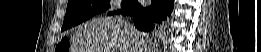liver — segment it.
<instances>
[{"label":"liver","instance_id":"1","mask_svg":"<svg viewBox=\"0 0 261 52\" xmlns=\"http://www.w3.org/2000/svg\"><path fill=\"white\" fill-rule=\"evenodd\" d=\"M143 37L121 17H101L78 27L72 52H141L146 49Z\"/></svg>","mask_w":261,"mask_h":52}]
</instances>
